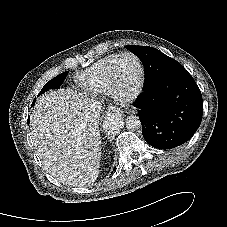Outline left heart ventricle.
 <instances>
[{"label":"left heart ventricle","instance_id":"obj_1","mask_svg":"<svg viewBox=\"0 0 227 227\" xmlns=\"http://www.w3.org/2000/svg\"><path fill=\"white\" fill-rule=\"evenodd\" d=\"M115 77L120 91L124 94L131 93L139 79V67L134 58H122L116 66Z\"/></svg>","mask_w":227,"mask_h":227}]
</instances>
